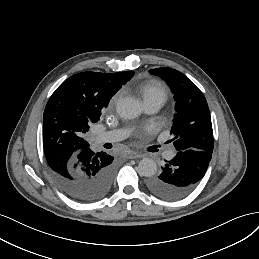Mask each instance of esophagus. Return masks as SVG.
Masks as SVG:
<instances>
[{
    "label": "esophagus",
    "mask_w": 259,
    "mask_h": 259,
    "mask_svg": "<svg viewBox=\"0 0 259 259\" xmlns=\"http://www.w3.org/2000/svg\"><path fill=\"white\" fill-rule=\"evenodd\" d=\"M124 157L127 159H136V158H142L143 155L141 153H138L135 151H129V152L125 153Z\"/></svg>",
    "instance_id": "esophagus-1"
}]
</instances>
